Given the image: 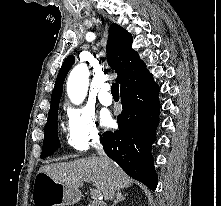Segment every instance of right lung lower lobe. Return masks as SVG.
I'll return each instance as SVG.
<instances>
[{"instance_id":"98d812e1","label":"right lung lower lobe","mask_w":221,"mask_h":206,"mask_svg":"<svg viewBox=\"0 0 221 206\" xmlns=\"http://www.w3.org/2000/svg\"><path fill=\"white\" fill-rule=\"evenodd\" d=\"M119 129L105 132V153L131 177L155 190L158 184L151 146L159 123V87L145 68L120 88Z\"/></svg>"}]
</instances>
